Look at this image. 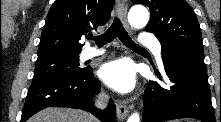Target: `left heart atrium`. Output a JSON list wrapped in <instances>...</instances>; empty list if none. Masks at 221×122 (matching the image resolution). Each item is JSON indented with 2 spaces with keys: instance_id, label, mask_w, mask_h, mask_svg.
I'll use <instances>...</instances> for the list:
<instances>
[{
  "instance_id": "1",
  "label": "left heart atrium",
  "mask_w": 221,
  "mask_h": 122,
  "mask_svg": "<svg viewBox=\"0 0 221 122\" xmlns=\"http://www.w3.org/2000/svg\"><path fill=\"white\" fill-rule=\"evenodd\" d=\"M102 80L119 92L131 91L136 82L133 64L126 59H119L103 64L99 70Z\"/></svg>"
}]
</instances>
